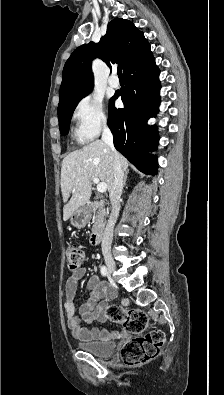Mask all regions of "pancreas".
Listing matches in <instances>:
<instances>
[{
  "mask_svg": "<svg viewBox=\"0 0 224 395\" xmlns=\"http://www.w3.org/2000/svg\"><path fill=\"white\" fill-rule=\"evenodd\" d=\"M107 215V210L101 205L94 206V216H93V230H97L102 227L105 223V218Z\"/></svg>",
  "mask_w": 224,
  "mask_h": 395,
  "instance_id": "cf45deb5",
  "label": "pancreas"
}]
</instances>
